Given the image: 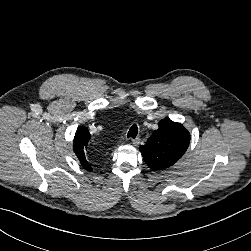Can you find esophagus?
Segmentation results:
<instances>
[{
  "label": "esophagus",
  "instance_id": "34e87169",
  "mask_svg": "<svg viewBox=\"0 0 251 251\" xmlns=\"http://www.w3.org/2000/svg\"><path fill=\"white\" fill-rule=\"evenodd\" d=\"M139 143H140V139L138 137L132 140V144L135 146L139 145Z\"/></svg>",
  "mask_w": 251,
  "mask_h": 251
}]
</instances>
